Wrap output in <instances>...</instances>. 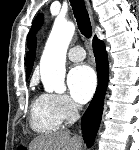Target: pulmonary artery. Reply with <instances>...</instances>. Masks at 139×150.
<instances>
[{"label":"pulmonary artery","mask_w":139,"mask_h":150,"mask_svg":"<svg viewBox=\"0 0 139 150\" xmlns=\"http://www.w3.org/2000/svg\"><path fill=\"white\" fill-rule=\"evenodd\" d=\"M86 56L85 50L80 46L71 48L68 52V58L73 62L82 61Z\"/></svg>","instance_id":"e3ab8cb5"}]
</instances>
